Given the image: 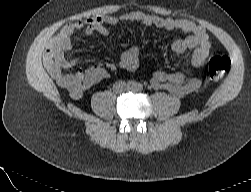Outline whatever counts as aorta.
<instances>
[{"instance_id":"762f6f07","label":"aorta","mask_w":251,"mask_h":192,"mask_svg":"<svg viewBox=\"0 0 251 192\" xmlns=\"http://www.w3.org/2000/svg\"><path fill=\"white\" fill-rule=\"evenodd\" d=\"M141 89H142V85L135 86V88H134L135 91H140Z\"/></svg>"}]
</instances>
